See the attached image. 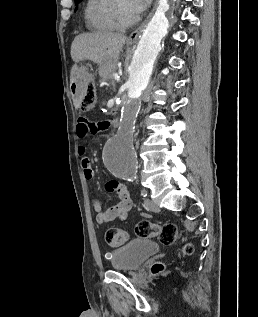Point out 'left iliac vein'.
I'll use <instances>...</instances> for the list:
<instances>
[{
    "label": "left iliac vein",
    "mask_w": 258,
    "mask_h": 317,
    "mask_svg": "<svg viewBox=\"0 0 258 317\" xmlns=\"http://www.w3.org/2000/svg\"><path fill=\"white\" fill-rule=\"evenodd\" d=\"M144 203L146 204V208L153 213L159 212V207L157 206L156 201H152L150 197H144Z\"/></svg>",
    "instance_id": "obj_1"
}]
</instances>
